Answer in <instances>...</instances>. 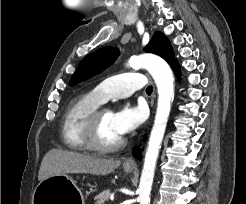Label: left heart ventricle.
Listing matches in <instances>:
<instances>
[{
    "label": "left heart ventricle",
    "mask_w": 246,
    "mask_h": 204,
    "mask_svg": "<svg viewBox=\"0 0 246 204\" xmlns=\"http://www.w3.org/2000/svg\"><path fill=\"white\" fill-rule=\"evenodd\" d=\"M98 137L99 141L105 145L113 144L122 138L114 126L113 113L109 110L102 113Z\"/></svg>",
    "instance_id": "1"
}]
</instances>
